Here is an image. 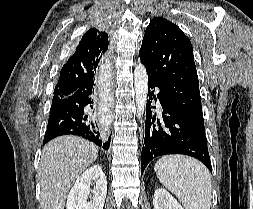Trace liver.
<instances>
[{
  "label": "liver",
  "mask_w": 253,
  "mask_h": 209,
  "mask_svg": "<svg viewBox=\"0 0 253 209\" xmlns=\"http://www.w3.org/2000/svg\"><path fill=\"white\" fill-rule=\"evenodd\" d=\"M97 156V146L78 136H60L47 143L38 173L41 208L64 209L73 183Z\"/></svg>",
  "instance_id": "liver-1"
}]
</instances>
